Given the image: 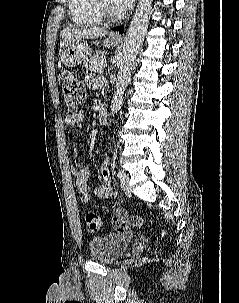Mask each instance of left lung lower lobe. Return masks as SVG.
Listing matches in <instances>:
<instances>
[{
	"label": "left lung lower lobe",
	"mask_w": 239,
	"mask_h": 303,
	"mask_svg": "<svg viewBox=\"0 0 239 303\" xmlns=\"http://www.w3.org/2000/svg\"><path fill=\"white\" fill-rule=\"evenodd\" d=\"M113 30H114V31H119V33L122 34L123 31H124V27H123V26L116 27V28H114Z\"/></svg>",
	"instance_id": "0a47b994"
}]
</instances>
